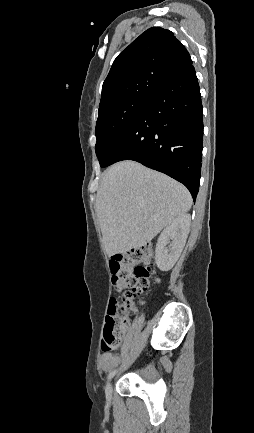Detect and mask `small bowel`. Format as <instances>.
<instances>
[{
  "instance_id": "obj_1",
  "label": "small bowel",
  "mask_w": 254,
  "mask_h": 433,
  "mask_svg": "<svg viewBox=\"0 0 254 433\" xmlns=\"http://www.w3.org/2000/svg\"><path fill=\"white\" fill-rule=\"evenodd\" d=\"M117 363V358L112 353H103L100 358L101 369L108 371Z\"/></svg>"
}]
</instances>
